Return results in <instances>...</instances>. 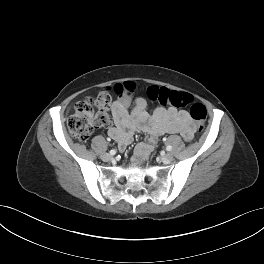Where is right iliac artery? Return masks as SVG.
I'll list each match as a JSON object with an SVG mask.
<instances>
[{"label": "right iliac artery", "mask_w": 264, "mask_h": 264, "mask_svg": "<svg viewBox=\"0 0 264 264\" xmlns=\"http://www.w3.org/2000/svg\"><path fill=\"white\" fill-rule=\"evenodd\" d=\"M115 153H116V150L115 149L110 150V154L111 155H115Z\"/></svg>", "instance_id": "obj_1"}]
</instances>
